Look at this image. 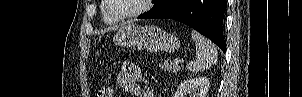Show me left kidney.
Masks as SVG:
<instances>
[{
  "instance_id": "5707ae66",
  "label": "left kidney",
  "mask_w": 302,
  "mask_h": 97,
  "mask_svg": "<svg viewBox=\"0 0 302 97\" xmlns=\"http://www.w3.org/2000/svg\"><path fill=\"white\" fill-rule=\"evenodd\" d=\"M208 90V78H189L179 85L174 97H206Z\"/></svg>"
}]
</instances>
